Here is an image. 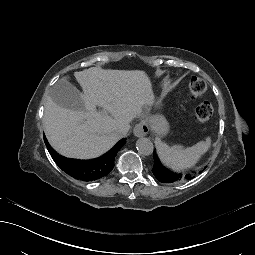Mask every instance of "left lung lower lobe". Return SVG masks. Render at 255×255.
I'll list each match as a JSON object with an SVG mask.
<instances>
[{"label": "left lung lower lobe", "mask_w": 255, "mask_h": 255, "mask_svg": "<svg viewBox=\"0 0 255 255\" xmlns=\"http://www.w3.org/2000/svg\"><path fill=\"white\" fill-rule=\"evenodd\" d=\"M152 173L154 176L162 183L174 184L177 183L180 179H184L185 177H191L193 172L191 170H185L184 172H174L165 168L158 157H154L152 159L151 164Z\"/></svg>", "instance_id": "1"}]
</instances>
